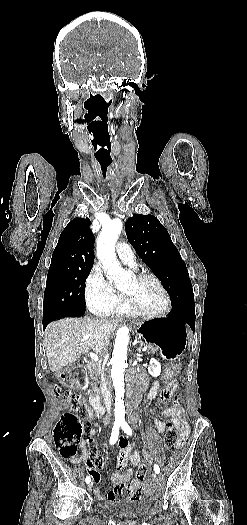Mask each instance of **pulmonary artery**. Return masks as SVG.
Here are the masks:
<instances>
[{"mask_svg":"<svg viewBox=\"0 0 247 525\" xmlns=\"http://www.w3.org/2000/svg\"><path fill=\"white\" fill-rule=\"evenodd\" d=\"M116 253L124 261L134 260V253L131 245L126 240H119L116 244Z\"/></svg>","mask_w":247,"mask_h":525,"instance_id":"e3ab8cb5","label":"pulmonary artery"}]
</instances>
